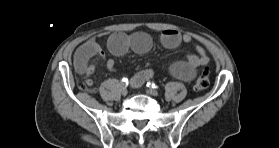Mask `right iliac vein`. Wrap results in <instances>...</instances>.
I'll list each match as a JSON object with an SVG mask.
<instances>
[{
	"mask_svg": "<svg viewBox=\"0 0 279 148\" xmlns=\"http://www.w3.org/2000/svg\"><path fill=\"white\" fill-rule=\"evenodd\" d=\"M121 94H122L123 96H126V95L128 94V90H127L126 88H122V89H121Z\"/></svg>",
	"mask_w": 279,
	"mask_h": 148,
	"instance_id": "63e3f726",
	"label": "right iliac vein"
}]
</instances>
